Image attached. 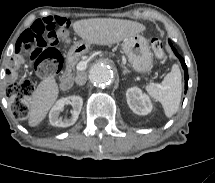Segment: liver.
I'll use <instances>...</instances> for the list:
<instances>
[{"instance_id": "liver-1", "label": "liver", "mask_w": 215, "mask_h": 183, "mask_svg": "<svg viewBox=\"0 0 215 183\" xmlns=\"http://www.w3.org/2000/svg\"><path fill=\"white\" fill-rule=\"evenodd\" d=\"M72 27L83 41L97 45L115 44L146 29L138 22L110 18L79 20L74 22ZM58 94L59 88L53 76H48L39 83L29 102L30 127H35L44 120Z\"/></svg>"}]
</instances>
